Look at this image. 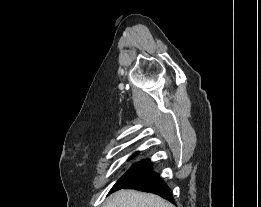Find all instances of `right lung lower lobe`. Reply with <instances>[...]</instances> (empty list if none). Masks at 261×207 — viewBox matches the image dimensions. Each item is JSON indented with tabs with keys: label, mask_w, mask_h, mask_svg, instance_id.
Segmentation results:
<instances>
[{
	"label": "right lung lower lobe",
	"mask_w": 261,
	"mask_h": 207,
	"mask_svg": "<svg viewBox=\"0 0 261 207\" xmlns=\"http://www.w3.org/2000/svg\"><path fill=\"white\" fill-rule=\"evenodd\" d=\"M121 188H129V189L154 193L174 203V199L170 195L169 188L167 187V185L160 180L158 174L152 171H149L131 180L130 182L123 185Z\"/></svg>",
	"instance_id": "right-lung-lower-lobe-1"
}]
</instances>
